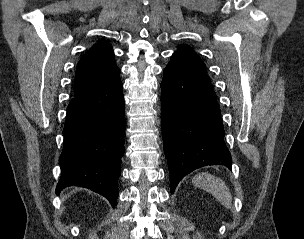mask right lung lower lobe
<instances>
[{
  "instance_id": "98d812e1",
  "label": "right lung lower lobe",
  "mask_w": 304,
  "mask_h": 239,
  "mask_svg": "<svg viewBox=\"0 0 304 239\" xmlns=\"http://www.w3.org/2000/svg\"><path fill=\"white\" fill-rule=\"evenodd\" d=\"M119 73L120 70L70 101L57 193L67 186L84 187L106 197L115 206L125 127Z\"/></svg>"
}]
</instances>
